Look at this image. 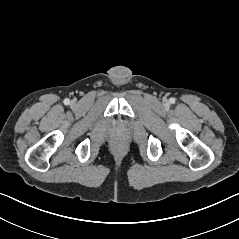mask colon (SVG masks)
Listing matches in <instances>:
<instances>
[{
    "instance_id": "colon-1",
    "label": "colon",
    "mask_w": 239,
    "mask_h": 239,
    "mask_svg": "<svg viewBox=\"0 0 239 239\" xmlns=\"http://www.w3.org/2000/svg\"><path fill=\"white\" fill-rule=\"evenodd\" d=\"M116 148H117L118 150H122V145L117 144V145H116Z\"/></svg>"
}]
</instances>
